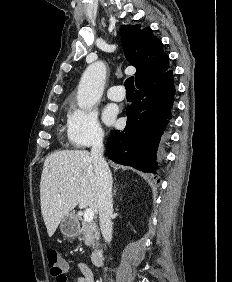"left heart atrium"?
Returning <instances> with one entry per match:
<instances>
[{
  "label": "left heart atrium",
  "mask_w": 232,
  "mask_h": 282,
  "mask_svg": "<svg viewBox=\"0 0 232 282\" xmlns=\"http://www.w3.org/2000/svg\"><path fill=\"white\" fill-rule=\"evenodd\" d=\"M116 112L113 108L107 107L103 113V119L107 124H112L115 120Z\"/></svg>",
  "instance_id": "left-heart-atrium-1"
}]
</instances>
